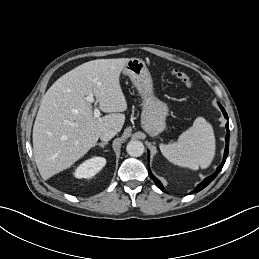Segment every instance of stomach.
I'll list each match as a JSON object with an SVG mask.
<instances>
[{"instance_id":"0dacf381","label":"stomach","mask_w":259,"mask_h":259,"mask_svg":"<svg viewBox=\"0 0 259 259\" xmlns=\"http://www.w3.org/2000/svg\"><path fill=\"white\" fill-rule=\"evenodd\" d=\"M142 99L141 123L151 136H157L166 127L167 105L155 97L152 78L143 60L131 58L123 69Z\"/></svg>"}]
</instances>
